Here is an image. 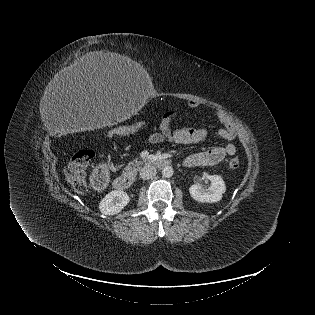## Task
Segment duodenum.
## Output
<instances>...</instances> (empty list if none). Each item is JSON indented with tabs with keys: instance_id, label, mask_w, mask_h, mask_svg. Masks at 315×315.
<instances>
[{
	"instance_id": "duodenum-1",
	"label": "duodenum",
	"mask_w": 315,
	"mask_h": 315,
	"mask_svg": "<svg viewBox=\"0 0 315 315\" xmlns=\"http://www.w3.org/2000/svg\"><path fill=\"white\" fill-rule=\"evenodd\" d=\"M154 165L159 168H164L170 164L169 160L164 158L152 159ZM134 181V174L132 172H124L114 180V187L118 190L129 188Z\"/></svg>"
}]
</instances>
